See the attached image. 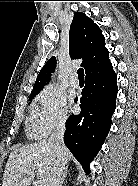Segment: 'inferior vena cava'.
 <instances>
[{
	"label": "inferior vena cava",
	"mask_w": 138,
	"mask_h": 186,
	"mask_svg": "<svg viewBox=\"0 0 138 186\" xmlns=\"http://www.w3.org/2000/svg\"><path fill=\"white\" fill-rule=\"evenodd\" d=\"M65 129V121L59 122L48 140L49 145L53 148L56 155V161L50 175L48 186H59L61 181L63 169L65 166L64 155L66 147L63 141Z\"/></svg>",
	"instance_id": "inferior-vena-cava-1"
}]
</instances>
